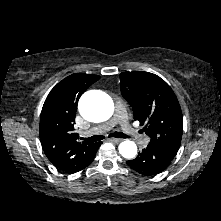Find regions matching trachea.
I'll use <instances>...</instances> for the list:
<instances>
[{"label":"trachea","mask_w":221,"mask_h":221,"mask_svg":"<svg viewBox=\"0 0 221 221\" xmlns=\"http://www.w3.org/2000/svg\"><path fill=\"white\" fill-rule=\"evenodd\" d=\"M109 137H116V138H129L128 135L126 134H123L122 132H114V133H111L109 134ZM104 139V136L103 135H95V136H92V137H89V138H84L85 141H88V142H96V141H100Z\"/></svg>","instance_id":"3493384b"}]
</instances>
